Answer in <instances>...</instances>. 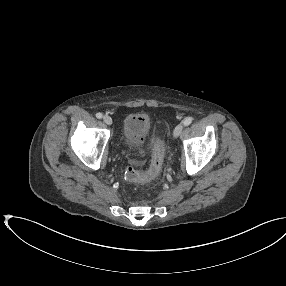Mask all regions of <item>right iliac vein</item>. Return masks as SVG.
I'll list each match as a JSON object with an SVG mask.
<instances>
[{"mask_svg": "<svg viewBox=\"0 0 286 286\" xmlns=\"http://www.w3.org/2000/svg\"><path fill=\"white\" fill-rule=\"evenodd\" d=\"M103 121H104V123L107 124V125H111V124H112V118H111L109 115H105V116L103 117Z\"/></svg>", "mask_w": 286, "mask_h": 286, "instance_id": "63e3f726", "label": "right iliac vein"}]
</instances>
